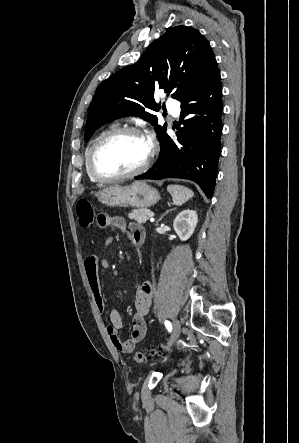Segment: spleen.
Listing matches in <instances>:
<instances>
[{"mask_svg":"<svg viewBox=\"0 0 299 443\" xmlns=\"http://www.w3.org/2000/svg\"><path fill=\"white\" fill-rule=\"evenodd\" d=\"M167 190L172 196L173 203L177 206L183 205L194 195L192 190L181 185H169Z\"/></svg>","mask_w":299,"mask_h":443,"instance_id":"3e777b00","label":"spleen"}]
</instances>
